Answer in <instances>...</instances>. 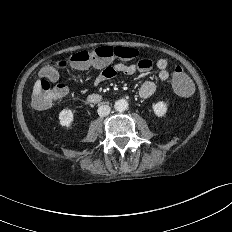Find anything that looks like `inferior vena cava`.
<instances>
[{
	"mask_svg": "<svg viewBox=\"0 0 232 232\" xmlns=\"http://www.w3.org/2000/svg\"><path fill=\"white\" fill-rule=\"evenodd\" d=\"M98 115L101 116V117H105L107 115H109L110 111H111V108L110 106L108 105H100L98 107Z\"/></svg>",
	"mask_w": 232,
	"mask_h": 232,
	"instance_id": "602c4592",
	"label": "inferior vena cava"
}]
</instances>
